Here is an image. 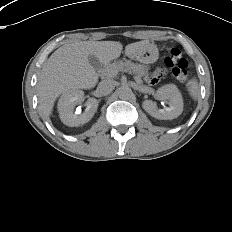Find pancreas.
I'll use <instances>...</instances> for the list:
<instances>
[{
  "instance_id": "1",
  "label": "pancreas",
  "mask_w": 232,
  "mask_h": 232,
  "mask_svg": "<svg viewBox=\"0 0 232 232\" xmlns=\"http://www.w3.org/2000/svg\"><path fill=\"white\" fill-rule=\"evenodd\" d=\"M147 70H148L147 66H144L142 64H136L131 61L125 60V61L113 62L108 66H106L103 71L107 77H113L118 72L121 71L133 73L141 81V77L146 75ZM111 71H115V75L110 76L109 73Z\"/></svg>"
}]
</instances>
